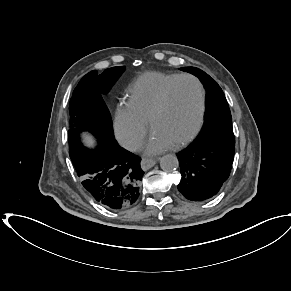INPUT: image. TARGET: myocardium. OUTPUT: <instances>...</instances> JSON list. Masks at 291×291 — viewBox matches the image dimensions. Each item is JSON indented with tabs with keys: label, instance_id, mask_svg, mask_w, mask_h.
<instances>
[{
	"label": "myocardium",
	"instance_id": "f54148a6",
	"mask_svg": "<svg viewBox=\"0 0 291 291\" xmlns=\"http://www.w3.org/2000/svg\"><path fill=\"white\" fill-rule=\"evenodd\" d=\"M189 79L195 82V84L198 87L199 90V97H200V103H199V115L197 123L194 127V129L183 139L178 141L173 145L174 148H180L188 143H190L201 131L202 126L204 124L205 119V113H206V93L204 86L202 82L195 76L191 74H181L178 75L171 83H169L165 89L163 90L160 99L156 105V107L151 112L148 123L151 129H153L154 122L156 118L165 110L168 104L169 95L171 91L174 89V87L182 80Z\"/></svg>",
	"mask_w": 291,
	"mask_h": 291
}]
</instances>
